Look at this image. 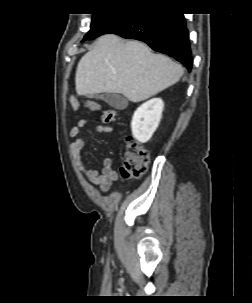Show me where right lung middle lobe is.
<instances>
[{
	"mask_svg": "<svg viewBox=\"0 0 252 303\" xmlns=\"http://www.w3.org/2000/svg\"><path fill=\"white\" fill-rule=\"evenodd\" d=\"M122 13H103L93 14L89 32L82 41L94 39L103 34V32L121 15Z\"/></svg>",
	"mask_w": 252,
	"mask_h": 303,
	"instance_id": "right-lung-middle-lobe-1",
	"label": "right lung middle lobe"
}]
</instances>
